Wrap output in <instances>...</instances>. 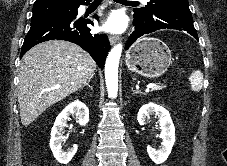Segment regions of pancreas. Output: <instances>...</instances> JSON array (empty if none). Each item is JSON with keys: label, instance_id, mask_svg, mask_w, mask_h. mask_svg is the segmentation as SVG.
<instances>
[{"label": "pancreas", "instance_id": "pancreas-1", "mask_svg": "<svg viewBox=\"0 0 227 166\" xmlns=\"http://www.w3.org/2000/svg\"><path fill=\"white\" fill-rule=\"evenodd\" d=\"M163 88H165V86H163V85H157V86L153 87L151 89V91H154V90H162Z\"/></svg>", "mask_w": 227, "mask_h": 166}]
</instances>
